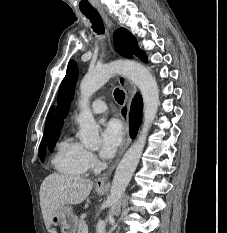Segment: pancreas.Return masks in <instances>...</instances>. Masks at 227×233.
Masks as SVG:
<instances>
[{
    "instance_id": "pancreas-1",
    "label": "pancreas",
    "mask_w": 227,
    "mask_h": 233,
    "mask_svg": "<svg viewBox=\"0 0 227 233\" xmlns=\"http://www.w3.org/2000/svg\"><path fill=\"white\" fill-rule=\"evenodd\" d=\"M77 226H78L77 233H83L84 229L87 227L83 217H80V219L77 222Z\"/></svg>"
}]
</instances>
